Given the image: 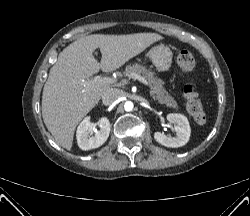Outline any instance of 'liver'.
<instances>
[{"mask_svg": "<svg viewBox=\"0 0 250 216\" xmlns=\"http://www.w3.org/2000/svg\"><path fill=\"white\" fill-rule=\"evenodd\" d=\"M162 40L156 33L93 34L67 46L58 56L43 88L42 117L55 141L71 150L78 123L99 102L108 85L85 86L98 73L119 69L151 44ZM99 48L101 63L93 56Z\"/></svg>", "mask_w": 250, "mask_h": 216, "instance_id": "1", "label": "liver"}]
</instances>
